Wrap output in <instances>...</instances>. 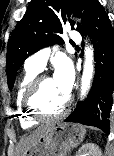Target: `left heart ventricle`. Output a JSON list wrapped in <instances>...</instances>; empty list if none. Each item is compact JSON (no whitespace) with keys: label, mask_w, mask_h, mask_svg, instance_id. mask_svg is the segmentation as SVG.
<instances>
[{"label":"left heart ventricle","mask_w":114,"mask_h":156,"mask_svg":"<svg viewBox=\"0 0 114 156\" xmlns=\"http://www.w3.org/2000/svg\"><path fill=\"white\" fill-rule=\"evenodd\" d=\"M68 96L64 95L56 85L53 78L45 80L38 95L40 109L48 114L59 112L66 103Z\"/></svg>","instance_id":"left-heart-ventricle-1"}]
</instances>
